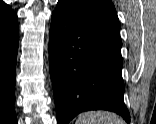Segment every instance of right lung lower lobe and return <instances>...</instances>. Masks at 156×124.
<instances>
[{
  "instance_id": "obj_1",
  "label": "right lung lower lobe",
  "mask_w": 156,
  "mask_h": 124,
  "mask_svg": "<svg viewBox=\"0 0 156 124\" xmlns=\"http://www.w3.org/2000/svg\"><path fill=\"white\" fill-rule=\"evenodd\" d=\"M19 27L0 29V124H16L15 67Z\"/></svg>"
}]
</instances>
